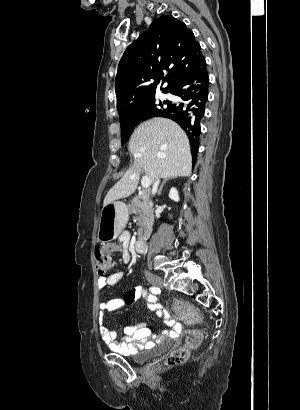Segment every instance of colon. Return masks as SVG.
<instances>
[{
  "instance_id": "colon-1",
  "label": "colon",
  "mask_w": 300,
  "mask_h": 410,
  "mask_svg": "<svg viewBox=\"0 0 300 410\" xmlns=\"http://www.w3.org/2000/svg\"><path fill=\"white\" fill-rule=\"evenodd\" d=\"M96 267L100 274H105L113 266L112 256L108 251L96 248L94 252ZM173 309L185 320L187 327H192L194 323L201 320V315L198 310L184 301L173 302ZM202 341V334L197 330H191L186 337V343L183 347L171 351L167 354L165 364L167 366H175L184 363L188 356L190 349L196 348Z\"/></svg>"
}]
</instances>
